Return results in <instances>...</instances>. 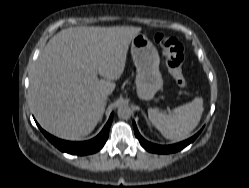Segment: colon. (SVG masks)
<instances>
[{
	"instance_id": "obj_1",
	"label": "colon",
	"mask_w": 249,
	"mask_h": 188,
	"mask_svg": "<svg viewBox=\"0 0 249 188\" xmlns=\"http://www.w3.org/2000/svg\"><path fill=\"white\" fill-rule=\"evenodd\" d=\"M154 42L161 47L166 67L181 88H186L188 83L182 73L184 60V49L180 41L172 36L157 33L154 36Z\"/></svg>"
}]
</instances>
